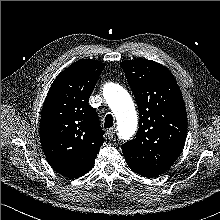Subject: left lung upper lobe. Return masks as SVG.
Returning a JSON list of instances; mask_svg holds the SVG:
<instances>
[{
    "label": "left lung upper lobe",
    "instance_id": "5c2ea615",
    "mask_svg": "<svg viewBox=\"0 0 220 220\" xmlns=\"http://www.w3.org/2000/svg\"><path fill=\"white\" fill-rule=\"evenodd\" d=\"M135 96L139 129L122 145L134 172L156 177L167 171L181 153L187 131V113L180 88L163 65L147 59L120 63Z\"/></svg>",
    "mask_w": 220,
    "mask_h": 220
}]
</instances>
